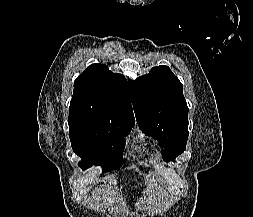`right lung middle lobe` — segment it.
<instances>
[{
    "instance_id": "obj_1",
    "label": "right lung middle lobe",
    "mask_w": 253,
    "mask_h": 217,
    "mask_svg": "<svg viewBox=\"0 0 253 217\" xmlns=\"http://www.w3.org/2000/svg\"><path fill=\"white\" fill-rule=\"evenodd\" d=\"M133 122L69 116V137L73 151L82 158L85 170L101 165L103 173L119 169L123 164L124 136Z\"/></svg>"
}]
</instances>
